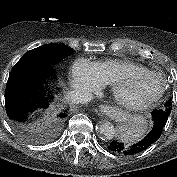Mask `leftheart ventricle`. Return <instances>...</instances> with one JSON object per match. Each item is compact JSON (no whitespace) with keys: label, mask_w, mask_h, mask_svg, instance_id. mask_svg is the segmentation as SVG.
<instances>
[{"label":"left heart ventricle","mask_w":177,"mask_h":177,"mask_svg":"<svg viewBox=\"0 0 177 177\" xmlns=\"http://www.w3.org/2000/svg\"><path fill=\"white\" fill-rule=\"evenodd\" d=\"M160 89L161 83L155 77L129 78L121 88V96L128 102H139L154 97Z\"/></svg>","instance_id":"obj_1"}]
</instances>
